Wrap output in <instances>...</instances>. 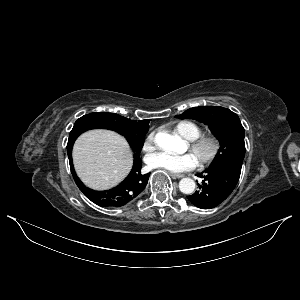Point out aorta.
Instances as JSON below:
<instances>
[{
	"label": "aorta",
	"instance_id": "aorta-1",
	"mask_svg": "<svg viewBox=\"0 0 300 300\" xmlns=\"http://www.w3.org/2000/svg\"><path fill=\"white\" fill-rule=\"evenodd\" d=\"M155 144L167 151L179 152L183 145V140L176 135L168 132H159L155 136ZM195 182L191 178H183L179 182V189L184 194H192L195 190Z\"/></svg>",
	"mask_w": 300,
	"mask_h": 300
}]
</instances>
